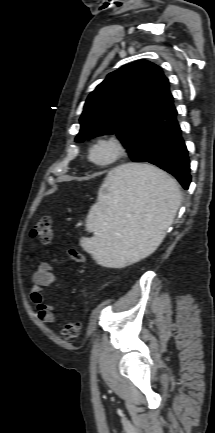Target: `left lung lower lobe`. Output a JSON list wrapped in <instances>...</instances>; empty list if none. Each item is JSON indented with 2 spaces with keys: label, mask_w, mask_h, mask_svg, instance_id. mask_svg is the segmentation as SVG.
<instances>
[{
  "label": "left lung lower lobe",
  "mask_w": 215,
  "mask_h": 433,
  "mask_svg": "<svg viewBox=\"0 0 215 433\" xmlns=\"http://www.w3.org/2000/svg\"><path fill=\"white\" fill-rule=\"evenodd\" d=\"M168 127L162 140L159 153L154 165L173 175L184 189L189 188L191 182L190 161L185 142L181 136V129L176 120Z\"/></svg>",
  "instance_id": "0a47b994"
}]
</instances>
